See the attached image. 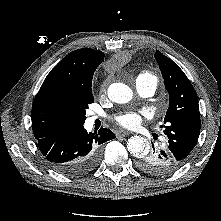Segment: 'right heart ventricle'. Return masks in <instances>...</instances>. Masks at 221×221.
<instances>
[{
	"label": "right heart ventricle",
	"mask_w": 221,
	"mask_h": 221,
	"mask_svg": "<svg viewBox=\"0 0 221 221\" xmlns=\"http://www.w3.org/2000/svg\"><path fill=\"white\" fill-rule=\"evenodd\" d=\"M140 78H146V79L156 80V77H155L153 74H151L150 72H147V71L141 72V73L138 75L137 79H140Z\"/></svg>",
	"instance_id": "1"
}]
</instances>
